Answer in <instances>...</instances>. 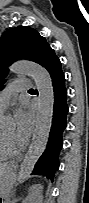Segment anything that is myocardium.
Listing matches in <instances>:
<instances>
[{
  "label": "myocardium",
  "mask_w": 89,
  "mask_h": 203,
  "mask_svg": "<svg viewBox=\"0 0 89 203\" xmlns=\"http://www.w3.org/2000/svg\"><path fill=\"white\" fill-rule=\"evenodd\" d=\"M0 138H1V142H2V148H3V151L5 152V154L9 157H14V156H18L20 155L24 148H25V145L23 144L22 146L20 147H14L12 146L3 136V133L1 132L0 133Z\"/></svg>",
  "instance_id": "myocardium-1"
}]
</instances>
